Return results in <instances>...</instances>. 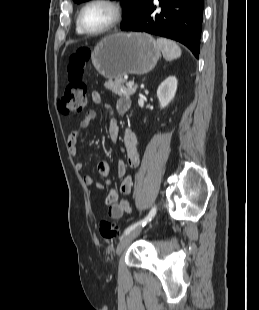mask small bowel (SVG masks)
<instances>
[{
  "label": "small bowel",
  "mask_w": 259,
  "mask_h": 310,
  "mask_svg": "<svg viewBox=\"0 0 259 310\" xmlns=\"http://www.w3.org/2000/svg\"><path fill=\"white\" fill-rule=\"evenodd\" d=\"M92 102L95 104L100 103V95L98 92H93L91 95ZM130 102L128 99L122 98L117 102V110L120 112L122 108H129ZM105 109L109 116V136L111 140L116 143L119 137V127L115 118L113 117V109L110 105H106ZM96 112L94 110H89L84 118L81 120L79 126L73 130L68 136V147L69 154L72 158L76 160L75 167L77 169H82V162L77 160V143L83 137L85 131L91 126V124L96 119ZM124 144L126 148L127 162L131 167H137L140 163L138 151H137V142L136 137L133 131L126 130L124 133ZM99 175L105 180L106 185H110V166L106 161H101L97 165ZM118 172L120 175L125 173V163L122 160L118 162ZM84 183L87 186H95L97 189L101 190L104 187V184L98 182L91 175H85L83 177ZM133 189V178L126 176L122 179L120 184V192L124 195H128L132 192ZM105 205L108 207L109 216L112 219H120L125 213L131 211L130 205L126 200L119 199V192L115 188H110L106 194Z\"/></svg>",
  "instance_id": "c3829d8e"
}]
</instances>
